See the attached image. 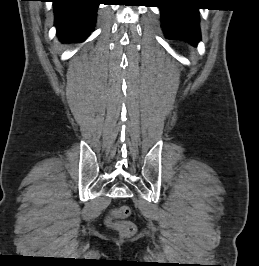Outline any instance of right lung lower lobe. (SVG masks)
Here are the masks:
<instances>
[{
  "label": "right lung lower lobe",
  "instance_id": "98d812e1",
  "mask_svg": "<svg viewBox=\"0 0 259 266\" xmlns=\"http://www.w3.org/2000/svg\"><path fill=\"white\" fill-rule=\"evenodd\" d=\"M101 0H53L55 26L63 40L84 41L95 25Z\"/></svg>",
  "mask_w": 259,
  "mask_h": 266
}]
</instances>
